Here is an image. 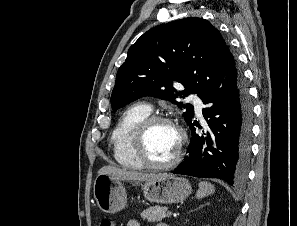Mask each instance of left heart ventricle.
<instances>
[{"label": "left heart ventricle", "mask_w": 297, "mask_h": 226, "mask_svg": "<svg viewBox=\"0 0 297 226\" xmlns=\"http://www.w3.org/2000/svg\"><path fill=\"white\" fill-rule=\"evenodd\" d=\"M178 132L167 123H156L148 131L146 152L149 158L157 163L170 160L177 149Z\"/></svg>", "instance_id": "b2bd125f"}]
</instances>
